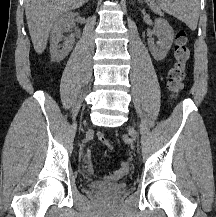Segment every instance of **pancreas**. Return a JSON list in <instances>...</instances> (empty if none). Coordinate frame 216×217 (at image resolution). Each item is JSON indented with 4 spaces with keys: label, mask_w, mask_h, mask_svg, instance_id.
<instances>
[{
    "label": "pancreas",
    "mask_w": 216,
    "mask_h": 217,
    "mask_svg": "<svg viewBox=\"0 0 216 217\" xmlns=\"http://www.w3.org/2000/svg\"><path fill=\"white\" fill-rule=\"evenodd\" d=\"M146 1L149 2L150 8H151L155 13H157V14H159V15H163V13H162L161 10H160V7L157 6V5L154 3L153 0H146Z\"/></svg>",
    "instance_id": "pancreas-1"
}]
</instances>
